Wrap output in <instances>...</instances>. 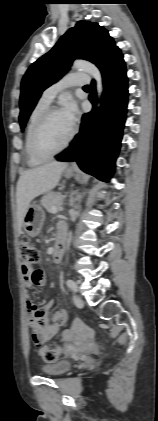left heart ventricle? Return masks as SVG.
Instances as JSON below:
<instances>
[{"instance_id": "obj_1", "label": "left heart ventricle", "mask_w": 158, "mask_h": 421, "mask_svg": "<svg viewBox=\"0 0 158 421\" xmlns=\"http://www.w3.org/2000/svg\"><path fill=\"white\" fill-rule=\"evenodd\" d=\"M71 129L61 112L52 114L41 132L40 146L47 152L56 150L65 142Z\"/></svg>"}]
</instances>
